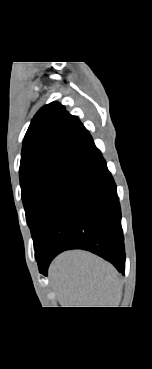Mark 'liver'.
Listing matches in <instances>:
<instances>
[{
	"instance_id": "obj_1",
	"label": "liver",
	"mask_w": 152,
	"mask_h": 369,
	"mask_svg": "<svg viewBox=\"0 0 152 369\" xmlns=\"http://www.w3.org/2000/svg\"><path fill=\"white\" fill-rule=\"evenodd\" d=\"M49 277L62 307H118L123 290L116 269L86 251H68L51 264Z\"/></svg>"
}]
</instances>
